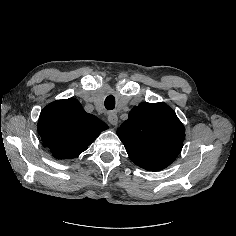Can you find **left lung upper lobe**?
Returning a JSON list of instances; mask_svg holds the SVG:
<instances>
[{
    "label": "left lung upper lobe",
    "mask_w": 236,
    "mask_h": 236,
    "mask_svg": "<svg viewBox=\"0 0 236 236\" xmlns=\"http://www.w3.org/2000/svg\"><path fill=\"white\" fill-rule=\"evenodd\" d=\"M117 135L136 165L158 171L180 153L185 128L167 104L141 103L130 111Z\"/></svg>",
    "instance_id": "1"
}]
</instances>
